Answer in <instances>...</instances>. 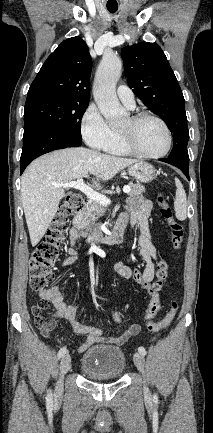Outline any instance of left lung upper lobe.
I'll return each instance as SVG.
<instances>
[{
    "label": "left lung upper lobe",
    "instance_id": "left-lung-upper-lobe-1",
    "mask_svg": "<svg viewBox=\"0 0 213 433\" xmlns=\"http://www.w3.org/2000/svg\"><path fill=\"white\" fill-rule=\"evenodd\" d=\"M121 56L129 87L173 133L169 158L189 163L184 97L164 52L156 43L141 42L124 47Z\"/></svg>",
    "mask_w": 213,
    "mask_h": 433
}]
</instances>
